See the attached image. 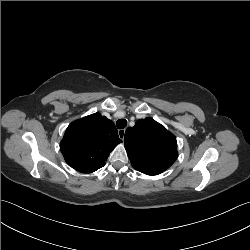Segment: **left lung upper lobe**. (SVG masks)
Instances as JSON below:
<instances>
[{
    "mask_svg": "<svg viewBox=\"0 0 250 250\" xmlns=\"http://www.w3.org/2000/svg\"><path fill=\"white\" fill-rule=\"evenodd\" d=\"M124 145L132 166L147 175L162 173L178 157L175 136L152 118L128 127Z\"/></svg>",
    "mask_w": 250,
    "mask_h": 250,
    "instance_id": "1",
    "label": "left lung upper lobe"
}]
</instances>
